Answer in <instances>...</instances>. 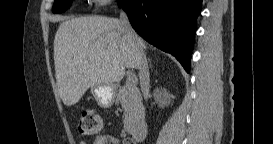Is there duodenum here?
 Instances as JSON below:
<instances>
[{
	"label": "duodenum",
	"instance_id": "410a0bca",
	"mask_svg": "<svg viewBox=\"0 0 273 144\" xmlns=\"http://www.w3.org/2000/svg\"><path fill=\"white\" fill-rule=\"evenodd\" d=\"M130 133L132 138L136 142H142L145 140L148 134V128L145 121L137 122L130 127Z\"/></svg>",
	"mask_w": 273,
	"mask_h": 144
}]
</instances>
